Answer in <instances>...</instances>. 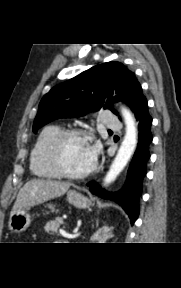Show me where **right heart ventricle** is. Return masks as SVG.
<instances>
[{"mask_svg": "<svg viewBox=\"0 0 181 288\" xmlns=\"http://www.w3.org/2000/svg\"><path fill=\"white\" fill-rule=\"evenodd\" d=\"M61 129L57 125L45 127L39 134L30 155V170L41 179H57L61 176L50 162V147Z\"/></svg>", "mask_w": 181, "mask_h": 288, "instance_id": "obj_1", "label": "right heart ventricle"}]
</instances>
